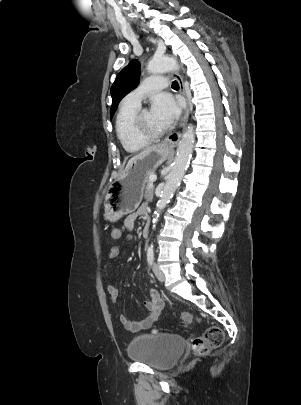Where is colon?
Listing matches in <instances>:
<instances>
[{
    "instance_id": "1",
    "label": "colon",
    "mask_w": 301,
    "mask_h": 405,
    "mask_svg": "<svg viewBox=\"0 0 301 405\" xmlns=\"http://www.w3.org/2000/svg\"><path fill=\"white\" fill-rule=\"evenodd\" d=\"M118 229H115L114 224H107L105 234L107 236L117 235ZM185 324L191 322V316L188 313H183L181 316ZM157 333V330H153ZM224 341V332L219 327H210L202 335L195 337L192 340V353L195 356H205L211 350L220 347Z\"/></svg>"
}]
</instances>
